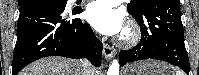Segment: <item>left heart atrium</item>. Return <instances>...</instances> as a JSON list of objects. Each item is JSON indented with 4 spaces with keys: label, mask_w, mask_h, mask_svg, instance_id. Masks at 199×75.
<instances>
[{
    "label": "left heart atrium",
    "mask_w": 199,
    "mask_h": 75,
    "mask_svg": "<svg viewBox=\"0 0 199 75\" xmlns=\"http://www.w3.org/2000/svg\"><path fill=\"white\" fill-rule=\"evenodd\" d=\"M88 22L100 33L119 35L124 31V19L110 1L92 2L86 10Z\"/></svg>",
    "instance_id": "left-heart-atrium-1"
}]
</instances>
